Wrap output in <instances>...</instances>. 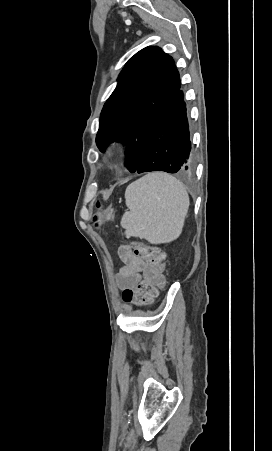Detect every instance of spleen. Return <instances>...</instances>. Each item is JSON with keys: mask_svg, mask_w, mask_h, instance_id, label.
Instances as JSON below:
<instances>
[{"mask_svg": "<svg viewBox=\"0 0 272 451\" xmlns=\"http://www.w3.org/2000/svg\"><path fill=\"white\" fill-rule=\"evenodd\" d=\"M125 202L130 212L121 218L126 237H140L150 243H168L182 233L189 208L187 190L164 172L146 174L126 188Z\"/></svg>", "mask_w": 272, "mask_h": 451, "instance_id": "1", "label": "spleen"}]
</instances>
